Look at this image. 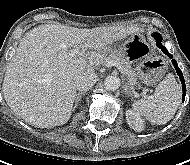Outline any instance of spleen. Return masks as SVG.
<instances>
[{
	"label": "spleen",
	"mask_w": 190,
	"mask_h": 165,
	"mask_svg": "<svg viewBox=\"0 0 190 165\" xmlns=\"http://www.w3.org/2000/svg\"><path fill=\"white\" fill-rule=\"evenodd\" d=\"M181 99V87L174 75L169 73L158 84L151 99H140L132 104L133 110L145 116L154 124L162 125L170 121L176 113Z\"/></svg>",
	"instance_id": "spleen-1"
}]
</instances>
